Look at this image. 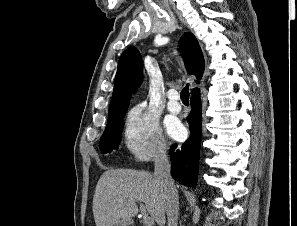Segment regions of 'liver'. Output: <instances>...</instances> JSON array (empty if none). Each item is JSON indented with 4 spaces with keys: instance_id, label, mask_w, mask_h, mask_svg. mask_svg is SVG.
Returning <instances> with one entry per match:
<instances>
[{
    "instance_id": "6515ba94",
    "label": "liver",
    "mask_w": 297,
    "mask_h": 226,
    "mask_svg": "<svg viewBox=\"0 0 297 226\" xmlns=\"http://www.w3.org/2000/svg\"><path fill=\"white\" fill-rule=\"evenodd\" d=\"M136 202L145 204L159 226L165 225L164 190L154 175L133 169L105 171L93 197L96 226H112L121 219L134 217L138 213Z\"/></svg>"
}]
</instances>
